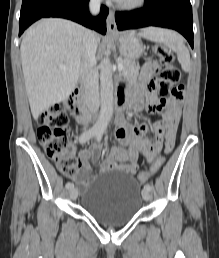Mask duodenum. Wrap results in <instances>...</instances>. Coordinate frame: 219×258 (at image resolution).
I'll use <instances>...</instances> for the list:
<instances>
[{
	"label": "duodenum",
	"instance_id": "obj_1",
	"mask_svg": "<svg viewBox=\"0 0 219 258\" xmlns=\"http://www.w3.org/2000/svg\"><path fill=\"white\" fill-rule=\"evenodd\" d=\"M84 89L82 87H76L68 98V107L74 115L75 119L81 123L86 124L92 118L91 110L85 105L83 99ZM127 104V99L118 94L115 101L116 114L119 116Z\"/></svg>",
	"mask_w": 219,
	"mask_h": 258
}]
</instances>
